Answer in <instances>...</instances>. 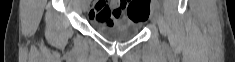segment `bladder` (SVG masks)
Returning <instances> with one entry per match:
<instances>
[{
	"label": "bladder",
	"instance_id": "31cf9c89",
	"mask_svg": "<svg viewBox=\"0 0 235 62\" xmlns=\"http://www.w3.org/2000/svg\"><path fill=\"white\" fill-rule=\"evenodd\" d=\"M94 29L100 36L112 42H124L131 40L138 34L139 31V27L137 25H117L110 27L96 25Z\"/></svg>",
	"mask_w": 235,
	"mask_h": 62
}]
</instances>
